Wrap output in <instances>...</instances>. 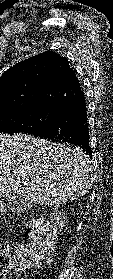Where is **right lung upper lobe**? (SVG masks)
<instances>
[{
	"instance_id": "cb5924a9",
	"label": "right lung upper lobe",
	"mask_w": 113,
	"mask_h": 279,
	"mask_svg": "<svg viewBox=\"0 0 113 279\" xmlns=\"http://www.w3.org/2000/svg\"><path fill=\"white\" fill-rule=\"evenodd\" d=\"M82 95L68 59L51 50L16 63L0 78V109L48 106L66 110Z\"/></svg>"
}]
</instances>
